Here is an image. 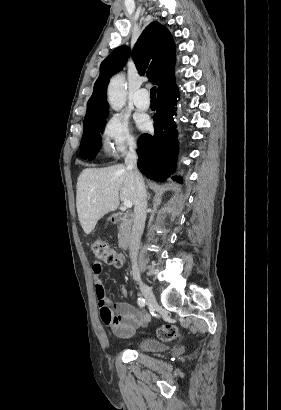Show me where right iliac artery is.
Masks as SVG:
<instances>
[{
    "label": "right iliac artery",
    "instance_id": "1",
    "mask_svg": "<svg viewBox=\"0 0 281 410\" xmlns=\"http://www.w3.org/2000/svg\"><path fill=\"white\" fill-rule=\"evenodd\" d=\"M137 303L140 307H144L145 306V299L144 298H138Z\"/></svg>",
    "mask_w": 281,
    "mask_h": 410
}]
</instances>
